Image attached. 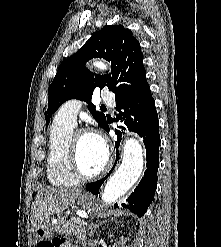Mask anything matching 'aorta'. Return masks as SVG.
<instances>
[{"label": "aorta", "instance_id": "762f6f07", "mask_svg": "<svg viewBox=\"0 0 221 247\" xmlns=\"http://www.w3.org/2000/svg\"><path fill=\"white\" fill-rule=\"evenodd\" d=\"M93 65L99 70H105L107 64L102 61H94ZM144 165L143 148L140 142L129 137L125 140L122 163L108 180L101 199L106 204L115 203L123 196L139 179Z\"/></svg>", "mask_w": 221, "mask_h": 247}]
</instances>
